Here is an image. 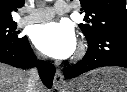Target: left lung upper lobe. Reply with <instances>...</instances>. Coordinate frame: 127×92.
I'll return each instance as SVG.
<instances>
[{"label": "left lung upper lobe", "instance_id": "1", "mask_svg": "<svg viewBox=\"0 0 127 92\" xmlns=\"http://www.w3.org/2000/svg\"><path fill=\"white\" fill-rule=\"evenodd\" d=\"M85 23L79 24L87 41L103 31L127 32L125 0H80Z\"/></svg>", "mask_w": 127, "mask_h": 92}]
</instances>
